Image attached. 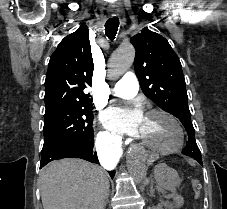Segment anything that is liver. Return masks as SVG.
<instances>
[{
  "mask_svg": "<svg viewBox=\"0 0 227 209\" xmlns=\"http://www.w3.org/2000/svg\"><path fill=\"white\" fill-rule=\"evenodd\" d=\"M43 209H103L107 173L82 159L52 161L40 173Z\"/></svg>",
  "mask_w": 227,
  "mask_h": 209,
  "instance_id": "6515ba94",
  "label": "liver"
}]
</instances>
